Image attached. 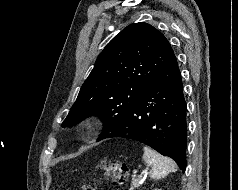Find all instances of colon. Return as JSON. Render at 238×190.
Here are the masks:
<instances>
[{"label":"colon","instance_id":"obj_1","mask_svg":"<svg viewBox=\"0 0 238 190\" xmlns=\"http://www.w3.org/2000/svg\"><path fill=\"white\" fill-rule=\"evenodd\" d=\"M101 169L104 174L119 184H123L129 176V168L125 163L117 161H103ZM82 190H97L92 183L83 186Z\"/></svg>","mask_w":238,"mask_h":190}]
</instances>
